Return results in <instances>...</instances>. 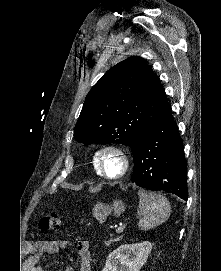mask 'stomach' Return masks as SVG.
<instances>
[{
  "label": "stomach",
  "instance_id": "stomach-1",
  "mask_svg": "<svg viewBox=\"0 0 221 271\" xmlns=\"http://www.w3.org/2000/svg\"><path fill=\"white\" fill-rule=\"evenodd\" d=\"M125 209L126 205L123 203L122 199H115L112 205H105V203L98 201V203H95L92 213L96 219H105L112 211L115 215H121Z\"/></svg>",
  "mask_w": 221,
  "mask_h": 271
}]
</instances>
